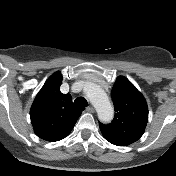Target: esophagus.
Returning a JSON list of instances; mask_svg holds the SVG:
<instances>
[{
	"label": "esophagus",
	"mask_w": 176,
	"mask_h": 176,
	"mask_svg": "<svg viewBox=\"0 0 176 176\" xmlns=\"http://www.w3.org/2000/svg\"><path fill=\"white\" fill-rule=\"evenodd\" d=\"M86 110H87L88 112H90V113H94V112H95V109H94L92 106H88V107L86 108Z\"/></svg>",
	"instance_id": "esophagus-1"
}]
</instances>
